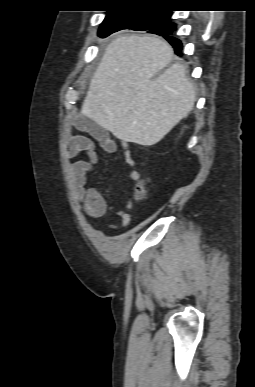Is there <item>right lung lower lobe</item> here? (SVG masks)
Returning <instances> with one entry per match:
<instances>
[{
	"label": "right lung lower lobe",
	"instance_id": "1",
	"mask_svg": "<svg viewBox=\"0 0 255 387\" xmlns=\"http://www.w3.org/2000/svg\"><path fill=\"white\" fill-rule=\"evenodd\" d=\"M147 32L153 33V32H150V31H147ZM155 34H157V33H155ZM170 34H171V32L167 31V32H164V33L159 34V35H163L164 38H166L169 41V43L174 47L175 53L178 56H182V53H181V51H182V44H181L180 40H178V39H176L174 37H171Z\"/></svg>",
	"mask_w": 255,
	"mask_h": 387
}]
</instances>
